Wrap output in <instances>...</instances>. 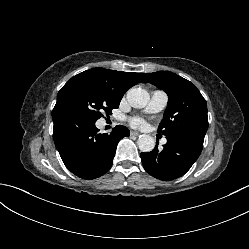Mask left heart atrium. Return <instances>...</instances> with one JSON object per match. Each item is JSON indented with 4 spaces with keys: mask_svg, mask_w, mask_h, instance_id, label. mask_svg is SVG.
Here are the masks:
<instances>
[{
    "mask_svg": "<svg viewBox=\"0 0 249 249\" xmlns=\"http://www.w3.org/2000/svg\"><path fill=\"white\" fill-rule=\"evenodd\" d=\"M131 123L134 126H141L144 122L143 120L136 118V119H133Z\"/></svg>",
    "mask_w": 249,
    "mask_h": 249,
    "instance_id": "left-heart-atrium-1",
    "label": "left heart atrium"
}]
</instances>
